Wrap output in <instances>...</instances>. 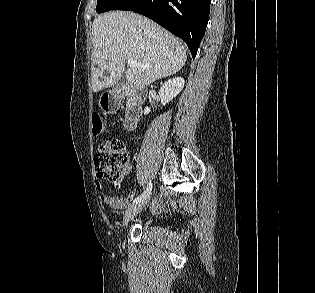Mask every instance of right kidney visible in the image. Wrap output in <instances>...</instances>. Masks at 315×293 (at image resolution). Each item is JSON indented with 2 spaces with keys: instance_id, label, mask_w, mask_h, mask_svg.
<instances>
[{
  "instance_id": "ca27d5eb",
  "label": "right kidney",
  "mask_w": 315,
  "mask_h": 293,
  "mask_svg": "<svg viewBox=\"0 0 315 293\" xmlns=\"http://www.w3.org/2000/svg\"><path fill=\"white\" fill-rule=\"evenodd\" d=\"M185 81L182 77H175L166 81L159 91V97L161 99L162 105L169 103L174 97H176L184 88ZM151 109L146 107L144 109V114H149Z\"/></svg>"
}]
</instances>
